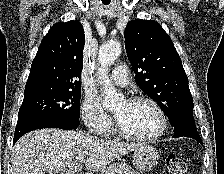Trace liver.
<instances>
[{
    "label": "liver",
    "mask_w": 224,
    "mask_h": 174,
    "mask_svg": "<svg viewBox=\"0 0 224 174\" xmlns=\"http://www.w3.org/2000/svg\"><path fill=\"white\" fill-rule=\"evenodd\" d=\"M140 145L111 142L82 131L35 130L14 145L13 174H82L78 157H87V170L98 171Z\"/></svg>",
    "instance_id": "6515ba94"
}]
</instances>
